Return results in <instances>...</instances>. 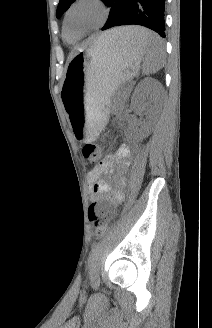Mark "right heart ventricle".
Here are the masks:
<instances>
[{
	"label": "right heart ventricle",
	"mask_w": 212,
	"mask_h": 328,
	"mask_svg": "<svg viewBox=\"0 0 212 328\" xmlns=\"http://www.w3.org/2000/svg\"><path fill=\"white\" fill-rule=\"evenodd\" d=\"M64 37H65V40L68 42V43H74L76 41V35L75 34H72L68 31H64Z\"/></svg>",
	"instance_id": "e07e8e85"
}]
</instances>
